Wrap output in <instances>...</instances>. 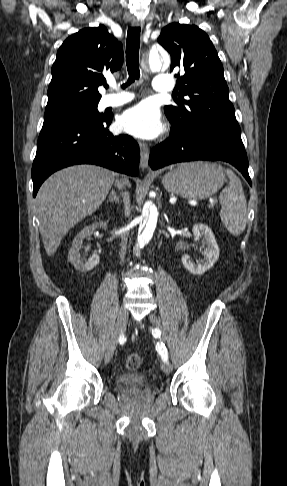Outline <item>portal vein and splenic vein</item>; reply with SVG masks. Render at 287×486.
<instances>
[{
    "mask_svg": "<svg viewBox=\"0 0 287 486\" xmlns=\"http://www.w3.org/2000/svg\"><path fill=\"white\" fill-rule=\"evenodd\" d=\"M215 205V202L213 200H210V207L214 206Z\"/></svg>",
    "mask_w": 287,
    "mask_h": 486,
    "instance_id": "1",
    "label": "portal vein and splenic vein"
}]
</instances>
